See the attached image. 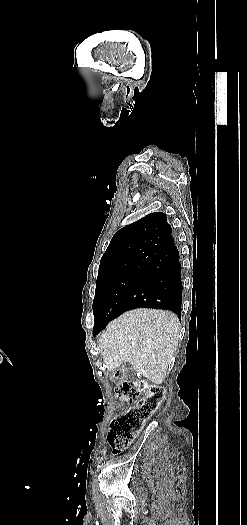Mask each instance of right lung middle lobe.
<instances>
[{
	"label": "right lung middle lobe",
	"instance_id": "dd1d6c3e",
	"mask_svg": "<svg viewBox=\"0 0 247 525\" xmlns=\"http://www.w3.org/2000/svg\"><path fill=\"white\" fill-rule=\"evenodd\" d=\"M151 261L152 256H146L129 268L98 273L93 300L95 327L106 326L118 315L119 305Z\"/></svg>",
	"mask_w": 247,
	"mask_h": 525
}]
</instances>
